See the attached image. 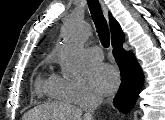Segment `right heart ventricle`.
Here are the masks:
<instances>
[{
    "label": "right heart ventricle",
    "mask_w": 165,
    "mask_h": 120,
    "mask_svg": "<svg viewBox=\"0 0 165 120\" xmlns=\"http://www.w3.org/2000/svg\"><path fill=\"white\" fill-rule=\"evenodd\" d=\"M36 89L40 94L51 98L60 99L53 88L52 78L44 79L40 77L36 82Z\"/></svg>",
    "instance_id": "1"
}]
</instances>
